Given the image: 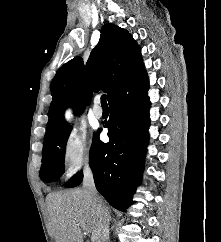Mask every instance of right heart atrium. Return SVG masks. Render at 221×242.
<instances>
[{
  "label": "right heart atrium",
  "instance_id": "right-heart-atrium-1",
  "mask_svg": "<svg viewBox=\"0 0 221 242\" xmlns=\"http://www.w3.org/2000/svg\"><path fill=\"white\" fill-rule=\"evenodd\" d=\"M93 151L87 134L71 131L65 137L60 150V162L67 179L77 176L90 167Z\"/></svg>",
  "mask_w": 221,
  "mask_h": 242
}]
</instances>
